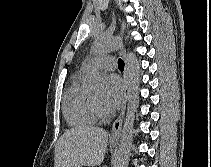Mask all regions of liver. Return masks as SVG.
Listing matches in <instances>:
<instances>
[{"instance_id":"liver-1","label":"liver","mask_w":211,"mask_h":167,"mask_svg":"<svg viewBox=\"0 0 211 167\" xmlns=\"http://www.w3.org/2000/svg\"><path fill=\"white\" fill-rule=\"evenodd\" d=\"M108 133L96 127L67 130L55 146L54 167L98 166L105 156Z\"/></svg>"}]
</instances>
